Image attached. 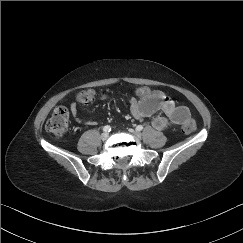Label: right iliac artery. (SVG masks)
I'll return each mask as SVG.
<instances>
[{
  "instance_id": "1",
  "label": "right iliac artery",
  "mask_w": 243,
  "mask_h": 243,
  "mask_svg": "<svg viewBox=\"0 0 243 243\" xmlns=\"http://www.w3.org/2000/svg\"><path fill=\"white\" fill-rule=\"evenodd\" d=\"M103 131L110 132L111 131V126H109V125L104 126Z\"/></svg>"
}]
</instances>
